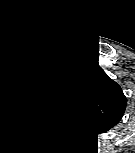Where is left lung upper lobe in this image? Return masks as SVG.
<instances>
[{
    "instance_id": "left-lung-upper-lobe-1",
    "label": "left lung upper lobe",
    "mask_w": 135,
    "mask_h": 153,
    "mask_svg": "<svg viewBox=\"0 0 135 153\" xmlns=\"http://www.w3.org/2000/svg\"><path fill=\"white\" fill-rule=\"evenodd\" d=\"M78 98L88 123L99 129L108 128L118 121L126 107L120 86L101 68L88 73L79 86Z\"/></svg>"
}]
</instances>
